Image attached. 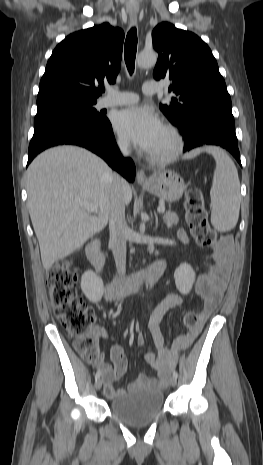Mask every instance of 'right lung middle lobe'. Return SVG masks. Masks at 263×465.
I'll use <instances>...</instances> for the list:
<instances>
[{
  "instance_id": "1",
  "label": "right lung middle lobe",
  "mask_w": 263,
  "mask_h": 465,
  "mask_svg": "<svg viewBox=\"0 0 263 465\" xmlns=\"http://www.w3.org/2000/svg\"><path fill=\"white\" fill-rule=\"evenodd\" d=\"M96 99L77 96H57L37 101L34 125L53 118H73L85 122L103 123L105 115L93 107Z\"/></svg>"
}]
</instances>
